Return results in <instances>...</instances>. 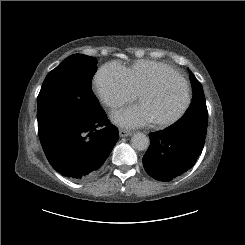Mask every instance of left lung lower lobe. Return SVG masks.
<instances>
[{"label": "left lung lower lobe", "instance_id": "left-lung-lower-lobe-1", "mask_svg": "<svg viewBox=\"0 0 245 245\" xmlns=\"http://www.w3.org/2000/svg\"><path fill=\"white\" fill-rule=\"evenodd\" d=\"M151 143L143 157L146 172L159 181H170L193 167L205 138L190 131L164 130L150 133Z\"/></svg>", "mask_w": 245, "mask_h": 245}]
</instances>
